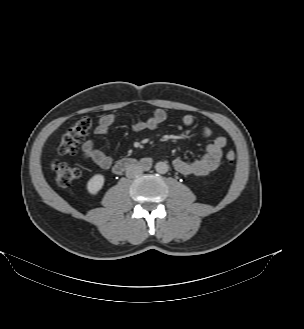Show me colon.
I'll list each match as a JSON object with an SVG mask.
<instances>
[{"label": "colon", "instance_id": "obj_1", "mask_svg": "<svg viewBox=\"0 0 304 329\" xmlns=\"http://www.w3.org/2000/svg\"><path fill=\"white\" fill-rule=\"evenodd\" d=\"M93 126V119L82 117L69 127L61 136L58 152L60 154H74L79 142L90 132ZM226 162L232 164L235 162L236 153L229 149L225 153ZM52 170L55 173L56 180L60 186L66 187L77 180L82 173L81 167L71 166L66 163L55 161L52 164Z\"/></svg>", "mask_w": 304, "mask_h": 329}]
</instances>
